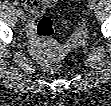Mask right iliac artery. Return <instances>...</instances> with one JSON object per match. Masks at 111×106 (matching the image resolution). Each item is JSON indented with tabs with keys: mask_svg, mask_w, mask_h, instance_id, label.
<instances>
[{
	"mask_svg": "<svg viewBox=\"0 0 111 106\" xmlns=\"http://www.w3.org/2000/svg\"><path fill=\"white\" fill-rule=\"evenodd\" d=\"M13 4L16 6L17 9H21V8L19 7V3H18V2L15 1Z\"/></svg>",
	"mask_w": 111,
	"mask_h": 106,
	"instance_id": "obj_1",
	"label": "right iliac artery"
}]
</instances>
